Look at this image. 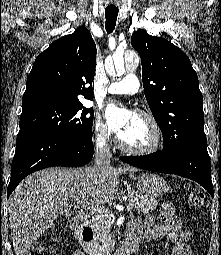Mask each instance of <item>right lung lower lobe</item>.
Returning <instances> with one entry per match:
<instances>
[{"label":"right lung lower lobe","mask_w":221,"mask_h":255,"mask_svg":"<svg viewBox=\"0 0 221 255\" xmlns=\"http://www.w3.org/2000/svg\"><path fill=\"white\" fill-rule=\"evenodd\" d=\"M94 154L92 138L74 140L37 130L20 129L7 189L10 196L27 175L53 166L80 167Z\"/></svg>","instance_id":"obj_1"}]
</instances>
